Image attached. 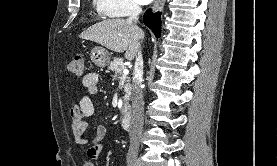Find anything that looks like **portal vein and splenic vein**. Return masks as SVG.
<instances>
[{
    "label": "portal vein and splenic vein",
    "mask_w": 277,
    "mask_h": 166,
    "mask_svg": "<svg viewBox=\"0 0 277 166\" xmlns=\"http://www.w3.org/2000/svg\"><path fill=\"white\" fill-rule=\"evenodd\" d=\"M128 72H129L128 69H124V70H123V73H124L125 75L128 74Z\"/></svg>",
    "instance_id": "1"
}]
</instances>
